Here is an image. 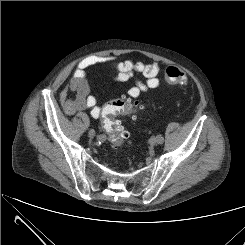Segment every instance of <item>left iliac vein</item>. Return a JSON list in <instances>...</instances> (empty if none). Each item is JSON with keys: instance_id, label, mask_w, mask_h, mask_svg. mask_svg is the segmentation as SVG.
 Returning a JSON list of instances; mask_svg holds the SVG:
<instances>
[{"instance_id": "left-iliac-vein-1", "label": "left iliac vein", "mask_w": 245, "mask_h": 245, "mask_svg": "<svg viewBox=\"0 0 245 245\" xmlns=\"http://www.w3.org/2000/svg\"><path fill=\"white\" fill-rule=\"evenodd\" d=\"M149 144L153 147L155 145L158 144V141H157V138L155 136H152L150 139H149Z\"/></svg>"}]
</instances>
